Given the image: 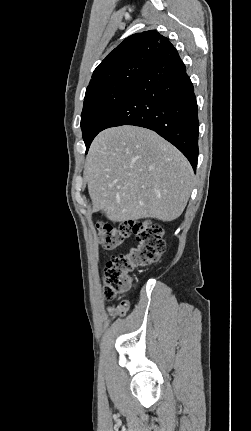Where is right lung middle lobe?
Segmentation results:
<instances>
[{"mask_svg":"<svg viewBox=\"0 0 251 431\" xmlns=\"http://www.w3.org/2000/svg\"><path fill=\"white\" fill-rule=\"evenodd\" d=\"M147 65L145 60L132 62L87 87L81 114L87 150L111 114L137 85Z\"/></svg>","mask_w":251,"mask_h":431,"instance_id":"1","label":"right lung middle lobe"}]
</instances>
